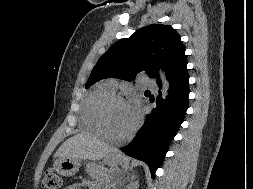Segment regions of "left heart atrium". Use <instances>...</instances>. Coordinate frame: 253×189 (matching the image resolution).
Here are the masks:
<instances>
[{
	"label": "left heart atrium",
	"mask_w": 253,
	"mask_h": 189,
	"mask_svg": "<svg viewBox=\"0 0 253 189\" xmlns=\"http://www.w3.org/2000/svg\"><path fill=\"white\" fill-rule=\"evenodd\" d=\"M130 107H131L133 113L138 116V110H137L136 106H130Z\"/></svg>",
	"instance_id": "1"
}]
</instances>
